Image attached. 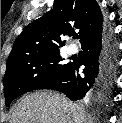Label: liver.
<instances>
[{"label": "liver", "instance_id": "6515ba94", "mask_svg": "<svg viewBox=\"0 0 122 123\" xmlns=\"http://www.w3.org/2000/svg\"><path fill=\"white\" fill-rule=\"evenodd\" d=\"M10 123H93V119L65 95L43 90L24 96L14 106Z\"/></svg>", "mask_w": 122, "mask_h": 123}]
</instances>
